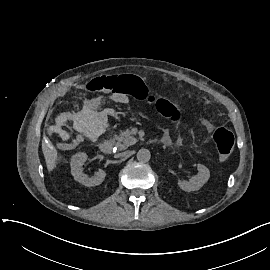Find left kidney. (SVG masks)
<instances>
[{"label":"left kidney","instance_id":"left-kidney-1","mask_svg":"<svg viewBox=\"0 0 270 270\" xmlns=\"http://www.w3.org/2000/svg\"><path fill=\"white\" fill-rule=\"evenodd\" d=\"M198 174L189 182H178L180 189L186 192L197 191L204 186L209 179L210 173L208 168L202 164H197Z\"/></svg>","mask_w":270,"mask_h":270}]
</instances>
